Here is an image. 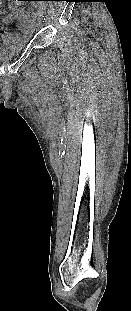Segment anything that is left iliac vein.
Masks as SVG:
<instances>
[{"mask_svg": "<svg viewBox=\"0 0 131 311\" xmlns=\"http://www.w3.org/2000/svg\"><path fill=\"white\" fill-rule=\"evenodd\" d=\"M41 25H42V20H39L38 26H41Z\"/></svg>", "mask_w": 131, "mask_h": 311, "instance_id": "1", "label": "left iliac vein"}]
</instances>
